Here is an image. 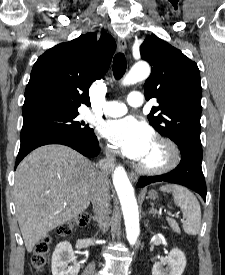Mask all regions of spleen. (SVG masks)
I'll list each match as a JSON object with an SVG mask.
<instances>
[{"label":"spleen","mask_w":225,"mask_h":275,"mask_svg":"<svg viewBox=\"0 0 225 275\" xmlns=\"http://www.w3.org/2000/svg\"><path fill=\"white\" fill-rule=\"evenodd\" d=\"M163 192L172 193L174 203L183 213V230L189 235L198 234L201 227V208L197 198L187 188L175 184L160 187Z\"/></svg>","instance_id":"spleen-1"}]
</instances>
